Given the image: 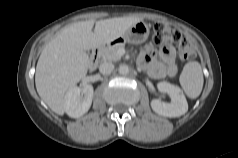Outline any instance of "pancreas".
Returning a JSON list of instances; mask_svg holds the SVG:
<instances>
[{
    "label": "pancreas",
    "instance_id": "pancreas-1",
    "mask_svg": "<svg viewBox=\"0 0 238 158\" xmlns=\"http://www.w3.org/2000/svg\"><path fill=\"white\" fill-rule=\"evenodd\" d=\"M124 47L123 43H119L113 46H109L100 51V57L103 61L116 62L120 59L118 51Z\"/></svg>",
    "mask_w": 238,
    "mask_h": 158
}]
</instances>
